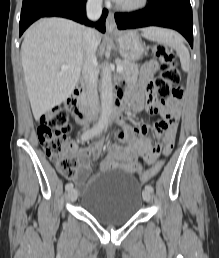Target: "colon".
Segmentation results:
<instances>
[{
    "instance_id": "5ec220e1",
    "label": "colon",
    "mask_w": 219,
    "mask_h": 258,
    "mask_svg": "<svg viewBox=\"0 0 219 258\" xmlns=\"http://www.w3.org/2000/svg\"><path fill=\"white\" fill-rule=\"evenodd\" d=\"M153 54L161 62V71L154 80V87L161 97L183 95L181 71L173 52L164 44L152 47ZM72 126L68 113L56 108L44 113L39 118L38 138L48 158L53 161L61 174L72 178L78 170V163L71 154L72 143L68 138ZM163 160L157 161L149 170L139 174L143 183L154 178L162 169Z\"/></svg>"
}]
</instances>
